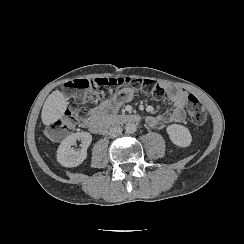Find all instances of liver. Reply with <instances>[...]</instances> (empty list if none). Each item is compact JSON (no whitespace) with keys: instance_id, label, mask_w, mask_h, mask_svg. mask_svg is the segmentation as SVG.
Returning <instances> with one entry per match:
<instances>
[{"instance_id":"obj_1","label":"liver","mask_w":244,"mask_h":244,"mask_svg":"<svg viewBox=\"0 0 244 244\" xmlns=\"http://www.w3.org/2000/svg\"><path fill=\"white\" fill-rule=\"evenodd\" d=\"M68 100L65 94L59 90H54L46 98L42 107L41 119L44 125H50L61 119L68 109Z\"/></svg>"}]
</instances>
